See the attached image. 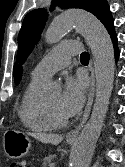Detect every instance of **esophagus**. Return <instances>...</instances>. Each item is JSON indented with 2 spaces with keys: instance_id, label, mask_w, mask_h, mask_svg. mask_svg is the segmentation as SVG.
Here are the masks:
<instances>
[{
  "instance_id": "esophagus-1",
  "label": "esophagus",
  "mask_w": 125,
  "mask_h": 167,
  "mask_svg": "<svg viewBox=\"0 0 125 167\" xmlns=\"http://www.w3.org/2000/svg\"><path fill=\"white\" fill-rule=\"evenodd\" d=\"M91 86H90V89H89V93H88V100H87V103H86V107H85V110H84V114H83V117L79 123V125L69 131L67 134H66V138L68 140H76L78 138V135H79V132L81 130V128L83 127V125L85 124L89 114H90V110H91V106H92V103H93V99H94V94H95V75H94V69L91 68Z\"/></svg>"
}]
</instances>
